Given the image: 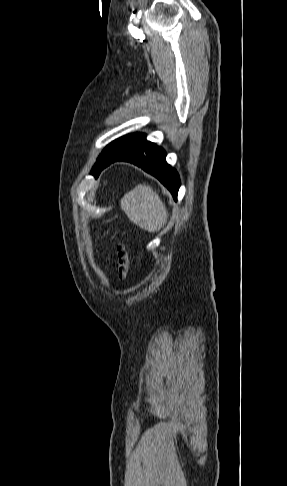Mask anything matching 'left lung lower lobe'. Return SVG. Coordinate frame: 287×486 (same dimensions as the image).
<instances>
[{
  "label": "left lung lower lobe",
  "instance_id": "left-lung-lower-lobe-1",
  "mask_svg": "<svg viewBox=\"0 0 287 486\" xmlns=\"http://www.w3.org/2000/svg\"><path fill=\"white\" fill-rule=\"evenodd\" d=\"M165 151L156 146L154 143L147 141L140 149L130 152L122 156H115L106 160L100 167V172L115 161H126L133 163L147 173L155 176L167 189L171 192L174 199L177 198L178 189L180 187L179 175L170 165L165 161Z\"/></svg>",
  "mask_w": 287,
  "mask_h": 486
}]
</instances>
